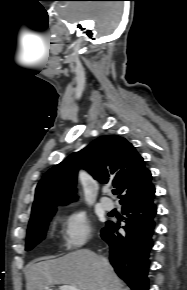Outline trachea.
I'll list each match as a JSON object with an SVG mask.
<instances>
[{
    "instance_id": "obj_1",
    "label": "trachea",
    "mask_w": 187,
    "mask_h": 290,
    "mask_svg": "<svg viewBox=\"0 0 187 290\" xmlns=\"http://www.w3.org/2000/svg\"><path fill=\"white\" fill-rule=\"evenodd\" d=\"M113 194L114 195H117V190H113Z\"/></svg>"
}]
</instances>
